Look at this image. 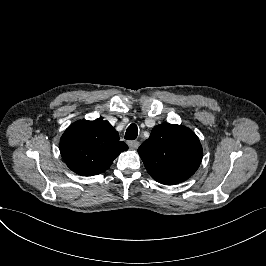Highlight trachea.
I'll return each instance as SVG.
<instances>
[{"label": "trachea", "instance_id": "obj_1", "mask_svg": "<svg viewBox=\"0 0 266 266\" xmlns=\"http://www.w3.org/2000/svg\"><path fill=\"white\" fill-rule=\"evenodd\" d=\"M138 135V129L137 126L135 124H131L125 133V139L126 140H135L137 138Z\"/></svg>", "mask_w": 266, "mask_h": 266}]
</instances>
